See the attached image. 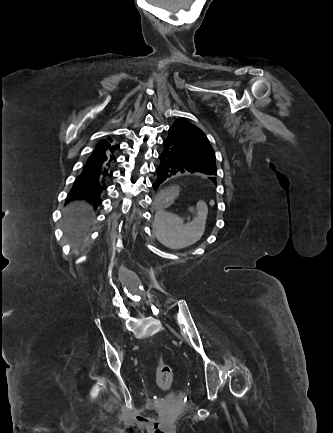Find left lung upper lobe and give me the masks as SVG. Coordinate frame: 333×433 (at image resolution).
I'll return each mask as SVG.
<instances>
[{
	"label": "left lung upper lobe",
	"instance_id": "5c2ea615",
	"mask_svg": "<svg viewBox=\"0 0 333 433\" xmlns=\"http://www.w3.org/2000/svg\"><path fill=\"white\" fill-rule=\"evenodd\" d=\"M194 157L216 168L215 153L206 135L185 119H177L169 128L166 138Z\"/></svg>",
	"mask_w": 333,
	"mask_h": 433
}]
</instances>
